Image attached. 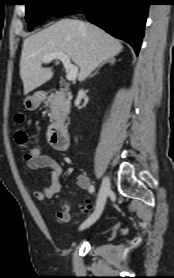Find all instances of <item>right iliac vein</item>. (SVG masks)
I'll list each match as a JSON object with an SVG mask.
<instances>
[{
  "label": "right iliac vein",
  "mask_w": 174,
  "mask_h": 278,
  "mask_svg": "<svg viewBox=\"0 0 174 278\" xmlns=\"http://www.w3.org/2000/svg\"><path fill=\"white\" fill-rule=\"evenodd\" d=\"M110 192V180L108 177H105L102 181L99 194H98V199L96 203V207L92 215L81 225L80 230L85 229L89 226H91L93 223H95L98 218L100 217L104 205L106 202V198Z\"/></svg>",
  "instance_id": "1"
}]
</instances>
